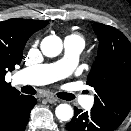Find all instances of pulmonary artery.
<instances>
[{
  "mask_svg": "<svg viewBox=\"0 0 131 131\" xmlns=\"http://www.w3.org/2000/svg\"><path fill=\"white\" fill-rule=\"evenodd\" d=\"M65 55L59 61L25 68L18 73L21 83L44 85L67 77L75 67L78 56L84 48V43L76 39H65ZM79 103L85 108L93 106V97H81Z\"/></svg>",
  "mask_w": 131,
  "mask_h": 131,
  "instance_id": "1",
  "label": "pulmonary artery"
}]
</instances>
